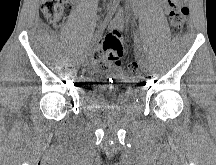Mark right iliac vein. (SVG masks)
<instances>
[{"label":"right iliac vein","instance_id":"right-iliac-vein-1","mask_svg":"<svg viewBox=\"0 0 216 165\" xmlns=\"http://www.w3.org/2000/svg\"><path fill=\"white\" fill-rule=\"evenodd\" d=\"M87 61L89 60L88 58L86 59ZM83 69L85 68V67H87V63L86 64H83L82 63V66H81Z\"/></svg>","mask_w":216,"mask_h":165}]
</instances>
